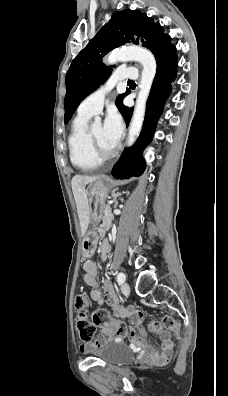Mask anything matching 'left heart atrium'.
<instances>
[{
    "label": "left heart atrium",
    "instance_id": "1",
    "mask_svg": "<svg viewBox=\"0 0 228 396\" xmlns=\"http://www.w3.org/2000/svg\"><path fill=\"white\" fill-rule=\"evenodd\" d=\"M104 131L107 139L116 146L123 131V123L117 111L110 110L108 112L104 122Z\"/></svg>",
    "mask_w": 228,
    "mask_h": 396
}]
</instances>
